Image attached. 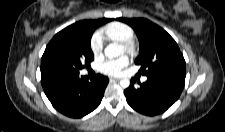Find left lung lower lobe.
<instances>
[{
    "label": "left lung lower lobe",
    "mask_w": 225,
    "mask_h": 132,
    "mask_svg": "<svg viewBox=\"0 0 225 132\" xmlns=\"http://www.w3.org/2000/svg\"><path fill=\"white\" fill-rule=\"evenodd\" d=\"M131 79L124 91L128 104L136 111L153 116L166 111L179 98L185 83V76H164L151 74L144 83Z\"/></svg>",
    "instance_id": "0a47b994"
}]
</instances>
